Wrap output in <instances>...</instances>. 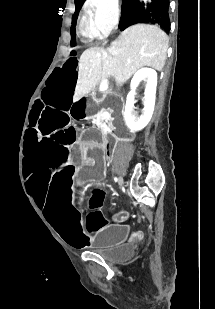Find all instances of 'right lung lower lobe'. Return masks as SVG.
I'll return each instance as SVG.
<instances>
[{"mask_svg":"<svg viewBox=\"0 0 215 309\" xmlns=\"http://www.w3.org/2000/svg\"><path fill=\"white\" fill-rule=\"evenodd\" d=\"M157 24L165 31L170 30L169 0H132L122 10L119 23L121 30L136 23Z\"/></svg>","mask_w":215,"mask_h":309,"instance_id":"obj_1","label":"right lung lower lobe"}]
</instances>
